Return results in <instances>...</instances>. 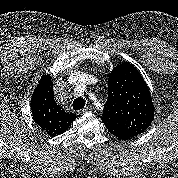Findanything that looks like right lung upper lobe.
Here are the masks:
<instances>
[{
	"label": "right lung upper lobe",
	"mask_w": 178,
	"mask_h": 178,
	"mask_svg": "<svg viewBox=\"0 0 178 178\" xmlns=\"http://www.w3.org/2000/svg\"><path fill=\"white\" fill-rule=\"evenodd\" d=\"M31 112L36 124L50 136L62 134L76 119L75 114L66 113L56 103L50 75H43L33 92Z\"/></svg>",
	"instance_id": "right-lung-upper-lobe-1"
}]
</instances>
